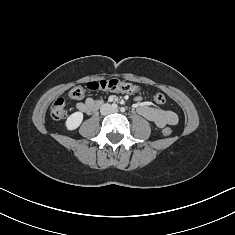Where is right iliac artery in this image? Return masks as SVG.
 <instances>
[{
  "label": "right iliac artery",
  "mask_w": 235,
  "mask_h": 235,
  "mask_svg": "<svg viewBox=\"0 0 235 235\" xmlns=\"http://www.w3.org/2000/svg\"><path fill=\"white\" fill-rule=\"evenodd\" d=\"M112 107L116 109V108L118 107V105L115 104V103H113V104H112Z\"/></svg>",
  "instance_id": "right-iliac-artery-1"
}]
</instances>
